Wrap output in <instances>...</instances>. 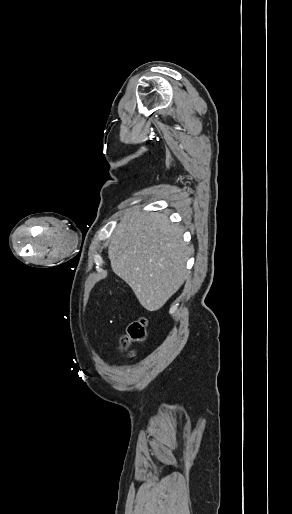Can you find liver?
I'll use <instances>...</instances> for the list:
<instances>
[{
	"instance_id": "obj_1",
	"label": "liver",
	"mask_w": 292,
	"mask_h": 514,
	"mask_svg": "<svg viewBox=\"0 0 292 514\" xmlns=\"http://www.w3.org/2000/svg\"><path fill=\"white\" fill-rule=\"evenodd\" d=\"M177 224L164 214L128 212L112 236L111 268L132 288L148 312L160 310L186 280L185 264L193 252Z\"/></svg>"
}]
</instances>
